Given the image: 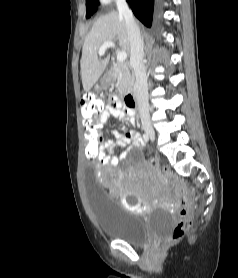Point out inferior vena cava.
I'll list each match as a JSON object with an SVG mask.
<instances>
[{"instance_id":"1","label":"inferior vena cava","mask_w":238,"mask_h":278,"mask_svg":"<svg viewBox=\"0 0 238 278\" xmlns=\"http://www.w3.org/2000/svg\"><path fill=\"white\" fill-rule=\"evenodd\" d=\"M119 13L124 17L130 41V62L135 72V96L142 125L150 127V109L148 103L147 75L144 63V43L133 13L126 0H116Z\"/></svg>"}]
</instances>
